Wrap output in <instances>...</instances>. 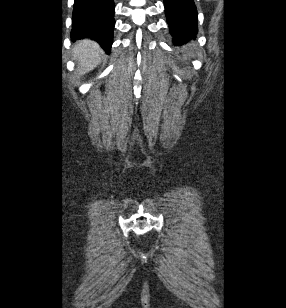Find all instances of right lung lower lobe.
Masks as SVG:
<instances>
[{
	"instance_id": "right-lung-lower-lobe-1",
	"label": "right lung lower lobe",
	"mask_w": 286,
	"mask_h": 308,
	"mask_svg": "<svg viewBox=\"0 0 286 308\" xmlns=\"http://www.w3.org/2000/svg\"><path fill=\"white\" fill-rule=\"evenodd\" d=\"M113 0H74L71 39L91 38L110 52L113 43Z\"/></svg>"
}]
</instances>
